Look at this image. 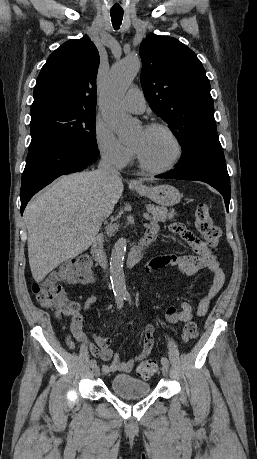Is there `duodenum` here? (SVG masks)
Returning a JSON list of instances; mask_svg holds the SVG:
<instances>
[{"label": "duodenum", "mask_w": 257, "mask_h": 459, "mask_svg": "<svg viewBox=\"0 0 257 459\" xmlns=\"http://www.w3.org/2000/svg\"><path fill=\"white\" fill-rule=\"evenodd\" d=\"M156 231L153 230H148L146 232L145 237L138 243V245L133 248L127 258V264L128 266H134L137 263H139L143 256L145 255L147 248L151 244V242L154 240L156 236ZM103 247H104V237L102 234H98L95 239L93 240L92 243V253L95 259L100 263L104 264L106 261V256L103 252Z\"/></svg>", "instance_id": "410a0bca"}]
</instances>
